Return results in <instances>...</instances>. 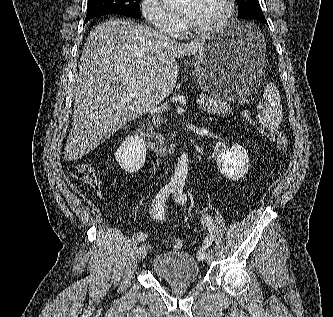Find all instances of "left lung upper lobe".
Returning <instances> with one entry per match:
<instances>
[{
    "instance_id": "1",
    "label": "left lung upper lobe",
    "mask_w": 333,
    "mask_h": 317,
    "mask_svg": "<svg viewBox=\"0 0 333 317\" xmlns=\"http://www.w3.org/2000/svg\"><path fill=\"white\" fill-rule=\"evenodd\" d=\"M239 8L238 18H249L254 15H263L258 0H236Z\"/></svg>"
}]
</instances>
